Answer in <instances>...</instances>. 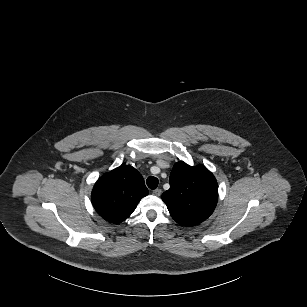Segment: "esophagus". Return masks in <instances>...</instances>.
<instances>
[{"instance_id": "esophagus-1", "label": "esophagus", "mask_w": 307, "mask_h": 307, "mask_svg": "<svg viewBox=\"0 0 307 307\" xmlns=\"http://www.w3.org/2000/svg\"><path fill=\"white\" fill-rule=\"evenodd\" d=\"M152 195H154V196H160L161 195V189H155V190H153L152 191Z\"/></svg>"}]
</instances>
